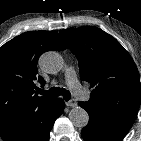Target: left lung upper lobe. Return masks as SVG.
<instances>
[{
	"label": "left lung upper lobe",
	"instance_id": "obj_1",
	"mask_svg": "<svg viewBox=\"0 0 141 141\" xmlns=\"http://www.w3.org/2000/svg\"><path fill=\"white\" fill-rule=\"evenodd\" d=\"M60 33L78 59L82 80L94 87L85 103L111 115L135 116L141 103L140 78L122 45L93 26Z\"/></svg>",
	"mask_w": 141,
	"mask_h": 141
}]
</instances>
